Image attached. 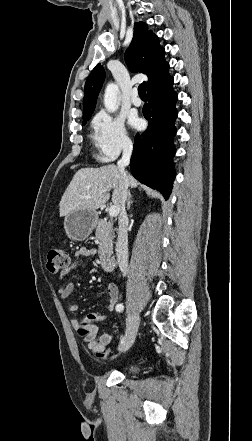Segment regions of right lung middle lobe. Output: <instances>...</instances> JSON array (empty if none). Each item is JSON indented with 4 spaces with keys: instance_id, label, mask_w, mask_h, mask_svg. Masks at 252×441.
<instances>
[{
    "instance_id": "obj_1",
    "label": "right lung middle lobe",
    "mask_w": 252,
    "mask_h": 441,
    "mask_svg": "<svg viewBox=\"0 0 252 441\" xmlns=\"http://www.w3.org/2000/svg\"><path fill=\"white\" fill-rule=\"evenodd\" d=\"M86 123V121H83L82 125H84Z\"/></svg>"
}]
</instances>
